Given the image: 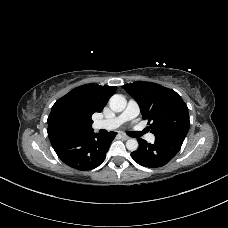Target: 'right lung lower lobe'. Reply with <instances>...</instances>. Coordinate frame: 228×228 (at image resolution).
I'll return each mask as SVG.
<instances>
[{"label":"right lung lower lobe","mask_w":228,"mask_h":228,"mask_svg":"<svg viewBox=\"0 0 228 228\" xmlns=\"http://www.w3.org/2000/svg\"><path fill=\"white\" fill-rule=\"evenodd\" d=\"M116 134L115 132H109L107 135L94 132L68 134L53 138L50 142L65 164L77 170H91L104 161Z\"/></svg>","instance_id":"obj_1"}]
</instances>
